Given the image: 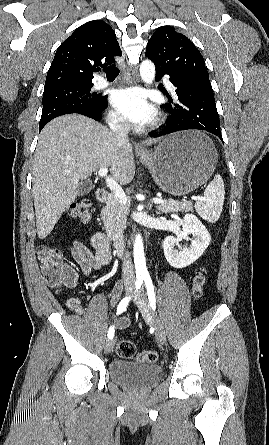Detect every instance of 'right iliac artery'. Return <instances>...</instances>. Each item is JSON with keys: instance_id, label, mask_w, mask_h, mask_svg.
Segmentation results:
<instances>
[{"instance_id": "1", "label": "right iliac artery", "mask_w": 269, "mask_h": 445, "mask_svg": "<svg viewBox=\"0 0 269 445\" xmlns=\"http://www.w3.org/2000/svg\"><path fill=\"white\" fill-rule=\"evenodd\" d=\"M142 284H143V278L142 277H138L137 280H136V283H135L136 291H138L141 288ZM130 299H131V296H128V297L123 298L120 301V303H119V305L117 307V313H116L117 315H120L122 312H124L126 310ZM114 331H115L114 330V326H111L109 328V331H108V338L109 339L113 338Z\"/></svg>"}]
</instances>
